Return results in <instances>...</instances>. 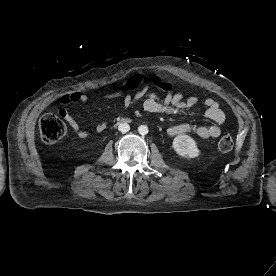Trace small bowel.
<instances>
[{
    "label": "small bowel",
    "instance_id": "c3829d8e",
    "mask_svg": "<svg viewBox=\"0 0 276 276\" xmlns=\"http://www.w3.org/2000/svg\"><path fill=\"white\" fill-rule=\"evenodd\" d=\"M121 95H124L122 101L124 108H130L137 101L143 99L144 110L153 114H179L194 106L198 101L197 97H191L188 100H183L182 93L173 94L172 92L167 93L165 98L160 99L156 95L148 93V85L144 86L135 94H125L123 90H119L109 93L105 95V97L115 98ZM87 101L88 96L80 91L66 93L60 97V103L64 106L76 103H86ZM204 106V116L214 123L212 126L178 124L170 127L167 130V134L169 136H175L181 133H192L203 139L219 137L222 132L221 127L226 121L225 113L219 107L218 103L212 98L206 99ZM61 115L78 137L86 138L88 136V132L80 127L77 120L67 110L62 109ZM103 129V124H99L96 127L97 131H102Z\"/></svg>",
    "mask_w": 276,
    "mask_h": 276
}]
</instances>
